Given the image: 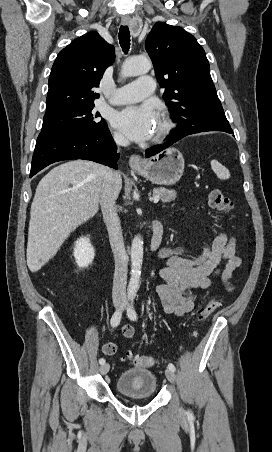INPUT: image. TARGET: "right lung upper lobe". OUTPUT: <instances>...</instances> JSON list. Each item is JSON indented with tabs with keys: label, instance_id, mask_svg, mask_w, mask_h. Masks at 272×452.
Returning <instances> with one entry per match:
<instances>
[{
	"label": "right lung upper lobe",
	"instance_id": "right-lung-upper-lobe-1",
	"mask_svg": "<svg viewBox=\"0 0 272 452\" xmlns=\"http://www.w3.org/2000/svg\"><path fill=\"white\" fill-rule=\"evenodd\" d=\"M115 59L114 47L97 32L73 40L60 51L49 76L46 114L94 104L106 68Z\"/></svg>",
	"mask_w": 272,
	"mask_h": 452
}]
</instances>
